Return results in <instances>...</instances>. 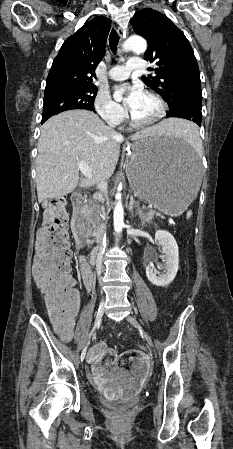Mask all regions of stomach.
<instances>
[{
    "label": "stomach",
    "instance_id": "1",
    "mask_svg": "<svg viewBox=\"0 0 233 449\" xmlns=\"http://www.w3.org/2000/svg\"><path fill=\"white\" fill-rule=\"evenodd\" d=\"M130 149L126 173L135 196L170 216L197 201L200 159L188 144L158 133L139 139Z\"/></svg>",
    "mask_w": 233,
    "mask_h": 449
}]
</instances>
